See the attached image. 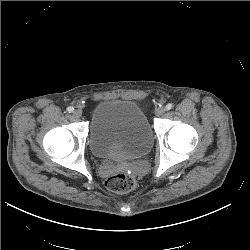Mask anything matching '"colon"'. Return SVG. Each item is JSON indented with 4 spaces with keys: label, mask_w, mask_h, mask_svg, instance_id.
Here are the masks:
<instances>
[{
    "label": "colon",
    "mask_w": 250,
    "mask_h": 250,
    "mask_svg": "<svg viewBox=\"0 0 250 250\" xmlns=\"http://www.w3.org/2000/svg\"><path fill=\"white\" fill-rule=\"evenodd\" d=\"M137 184V178L128 173H117L110 176L105 182L107 189L117 194L129 193L137 187Z\"/></svg>",
    "instance_id": "1"
}]
</instances>
